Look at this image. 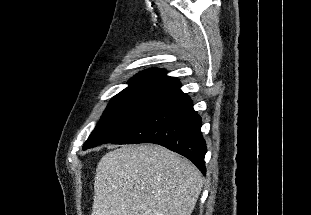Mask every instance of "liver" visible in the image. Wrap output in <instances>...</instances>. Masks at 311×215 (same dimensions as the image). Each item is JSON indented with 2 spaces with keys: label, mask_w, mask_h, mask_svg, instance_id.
<instances>
[{
  "label": "liver",
  "mask_w": 311,
  "mask_h": 215,
  "mask_svg": "<svg viewBox=\"0 0 311 215\" xmlns=\"http://www.w3.org/2000/svg\"><path fill=\"white\" fill-rule=\"evenodd\" d=\"M202 186L199 170L167 148L123 146L97 165L91 215H191Z\"/></svg>",
  "instance_id": "1"
}]
</instances>
